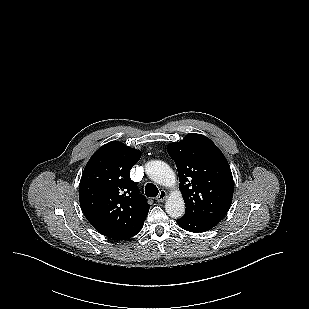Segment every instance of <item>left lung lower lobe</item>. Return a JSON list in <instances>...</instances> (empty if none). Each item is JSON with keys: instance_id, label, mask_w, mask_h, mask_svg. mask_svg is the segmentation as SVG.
Instances as JSON below:
<instances>
[{"instance_id": "obj_1", "label": "left lung lower lobe", "mask_w": 309, "mask_h": 309, "mask_svg": "<svg viewBox=\"0 0 309 309\" xmlns=\"http://www.w3.org/2000/svg\"><path fill=\"white\" fill-rule=\"evenodd\" d=\"M177 223L184 230L194 233L205 232L214 227L211 224L185 215L182 218L178 219Z\"/></svg>"}]
</instances>
